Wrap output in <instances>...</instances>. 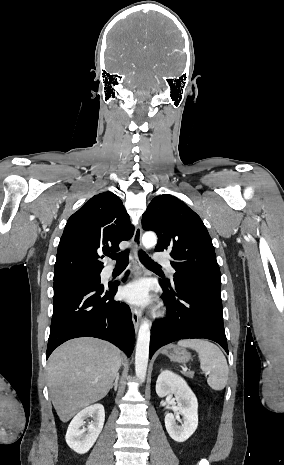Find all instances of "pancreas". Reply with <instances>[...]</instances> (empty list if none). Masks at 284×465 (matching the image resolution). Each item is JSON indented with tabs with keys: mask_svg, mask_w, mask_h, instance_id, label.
I'll list each match as a JSON object with an SVG mask.
<instances>
[{
	"mask_svg": "<svg viewBox=\"0 0 284 465\" xmlns=\"http://www.w3.org/2000/svg\"><path fill=\"white\" fill-rule=\"evenodd\" d=\"M183 375H185V377H190V379H193L194 377L193 371H187V373H183Z\"/></svg>",
	"mask_w": 284,
	"mask_h": 465,
	"instance_id": "1",
	"label": "pancreas"
}]
</instances>
